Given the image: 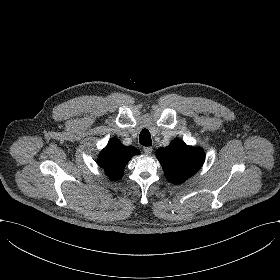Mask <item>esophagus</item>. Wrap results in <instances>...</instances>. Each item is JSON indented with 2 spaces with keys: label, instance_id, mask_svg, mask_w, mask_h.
I'll return each instance as SVG.
<instances>
[{
  "label": "esophagus",
  "instance_id": "esophagus-1",
  "mask_svg": "<svg viewBox=\"0 0 280 280\" xmlns=\"http://www.w3.org/2000/svg\"><path fill=\"white\" fill-rule=\"evenodd\" d=\"M152 150H153L152 147H148V146L143 148L144 153L147 155H150L152 153Z\"/></svg>",
  "mask_w": 280,
  "mask_h": 280
}]
</instances>
